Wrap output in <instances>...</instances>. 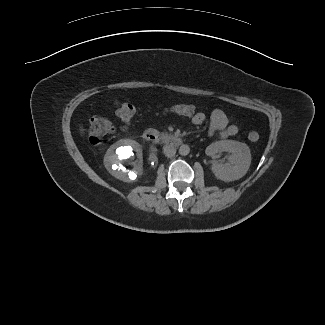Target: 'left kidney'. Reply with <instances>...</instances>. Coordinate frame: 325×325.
I'll list each match as a JSON object with an SVG mask.
<instances>
[{
	"instance_id": "obj_1",
	"label": "left kidney",
	"mask_w": 325,
	"mask_h": 325,
	"mask_svg": "<svg viewBox=\"0 0 325 325\" xmlns=\"http://www.w3.org/2000/svg\"><path fill=\"white\" fill-rule=\"evenodd\" d=\"M206 154L214 157L221 152H229L228 162L213 164L212 171L217 179L230 182L242 178L251 164V153L245 143L234 140H222L210 144Z\"/></svg>"
}]
</instances>
